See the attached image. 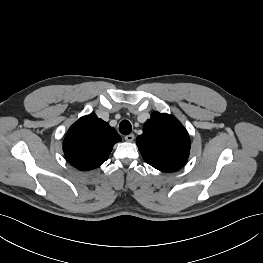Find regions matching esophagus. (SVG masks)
Wrapping results in <instances>:
<instances>
[{
  "mask_svg": "<svg viewBox=\"0 0 263 263\" xmlns=\"http://www.w3.org/2000/svg\"><path fill=\"white\" fill-rule=\"evenodd\" d=\"M135 136L134 134H129V135H126L124 137V139L127 141V142H132L134 140Z\"/></svg>",
  "mask_w": 263,
  "mask_h": 263,
  "instance_id": "1",
  "label": "esophagus"
}]
</instances>
